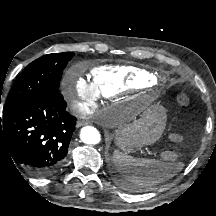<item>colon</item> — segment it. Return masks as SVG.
Listing matches in <instances>:
<instances>
[{
  "instance_id": "obj_1",
  "label": "colon",
  "mask_w": 216,
  "mask_h": 216,
  "mask_svg": "<svg viewBox=\"0 0 216 216\" xmlns=\"http://www.w3.org/2000/svg\"><path fill=\"white\" fill-rule=\"evenodd\" d=\"M190 102V95L187 91L182 90L180 92L177 93L176 95V103L179 106H187ZM164 157L167 159H173L176 157V153L173 151H167L164 154Z\"/></svg>"
}]
</instances>
